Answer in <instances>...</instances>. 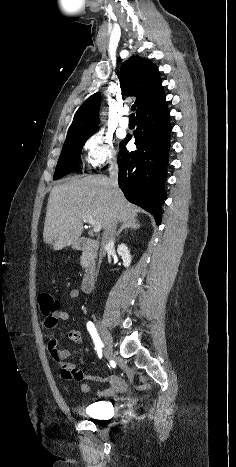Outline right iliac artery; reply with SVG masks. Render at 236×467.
Segmentation results:
<instances>
[{
  "mask_svg": "<svg viewBox=\"0 0 236 467\" xmlns=\"http://www.w3.org/2000/svg\"><path fill=\"white\" fill-rule=\"evenodd\" d=\"M87 329L93 339V342L95 344V348H96V351H97V354H98V357L99 358H102V347H103V343L98 335V332L95 328V325L93 322L89 321L87 323Z\"/></svg>",
  "mask_w": 236,
  "mask_h": 467,
  "instance_id": "1",
  "label": "right iliac artery"
}]
</instances>
